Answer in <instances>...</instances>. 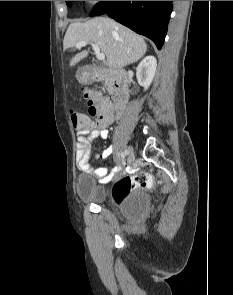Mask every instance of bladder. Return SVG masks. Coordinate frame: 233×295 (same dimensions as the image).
I'll use <instances>...</instances> for the list:
<instances>
[{"label": "bladder", "mask_w": 233, "mask_h": 295, "mask_svg": "<svg viewBox=\"0 0 233 295\" xmlns=\"http://www.w3.org/2000/svg\"><path fill=\"white\" fill-rule=\"evenodd\" d=\"M78 197L85 202L101 203L105 199V189L91 176H80L75 185ZM128 207L136 216H141L150 206V198L144 192H137L128 201Z\"/></svg>", "instance_id": "1"}]
</instances>
